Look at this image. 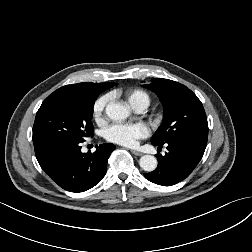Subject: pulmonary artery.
<instances>
[{
    "mask_svg": "<svg viewBox=\"0 0 252 252\" xmlns=\"http://www.w3.org/2000/svg\"><path fill=\"white\" fill-rule=\"evenodd\" d=\"M135 109V111L137 112H143L145 109H146V106L145 105H138V106H135L133 107Z\"/></svg>",
    "mask_w": 252,
    "mask_h": 252,
    "instance_id": "obj_1",
    "label": "pulmonary artery"
}]
</instances>
